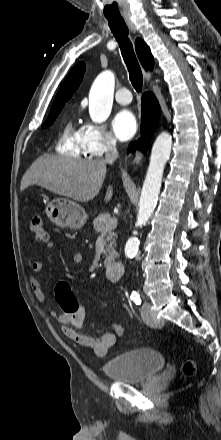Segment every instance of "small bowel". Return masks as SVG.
<instances>
[{
    "label": "small bowel",
    "instance_id": "1",
    "mask_svg": "<svg viewBox=\"0 0 221 440\" xmlns=\"http://www.w3.org/2000/svg\"><path fill=\"white\" fill-rule=\"evenodd\" d=\"M54 243L47 245L48 249L54 248ZM74 264H80L83 261V255L80 252H75L72 257ZM43 269V263L40 260L34 261L31 265L30 286L36 297L41 303H46L47 298L42 289V285L36 277ZM82 309L80 312H74L73 315H62L57 310H51V316L58 320L61 324L62 332L69 339L77 342L79 345L92 350L98 356H105L108 351L114 346L116 342V334L114 332L106 331L100 336L94 337L90 334L79 332L83 327L86 317V307L80 302Z\"/></svg>",
    "mask_w": 221,
    "mask_h": 440
}]
</instances>
